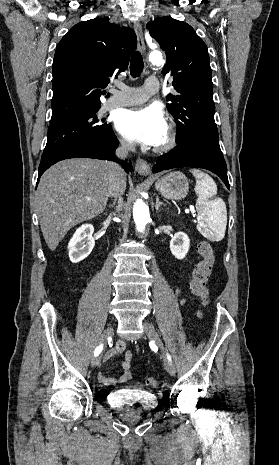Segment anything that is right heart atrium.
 I'll return each instance as SVG.
<instances>
[{
	"label": "right heart atrium",
	"instance_id": "right-heart-atrium-1",
	"mask_svg": "<svg viewBox=\"0 0 279 465\" xmlns=\"http://www.w3.org/2000/svg\"><path fill=\"white\" fill-rule=\"evenodd\" d=\"M120 142H121V145L123 147H125V148H130L131 147V143L128 140L124 139V138H121Z\"/></svg>",
	"mask_w": 279,
	"mask_h": 465
}]
</instances>
